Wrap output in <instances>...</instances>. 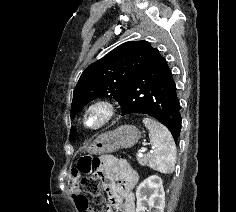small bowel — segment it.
<instances>
[{
    "instance_id": "obj_1",
    "label": "small bowel",
    "mask_w": 236,
    "mask_h": 212,
    "mask_svg": "<svg viewBox=\"0 0 236 212\" xmlns=\"http://www.w3.org/2000/svg\"><path fill=\"white\" fill-rule=\"evenodd\" d=\"M95 171L101 175L107 191L110 203L107 212H136L133 187L138 181V175L131 165L125 160L104 155L98 160ZM81 173L85 172L79 167L72 171L69 190L78 212H93L89 209L87 198L77 187Z\"/></svg>"
}]
</instances>
